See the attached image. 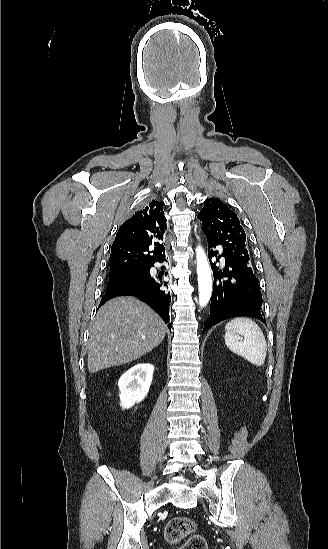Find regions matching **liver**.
<instances>
[{
    "label": "liver",
    "instance_id": "1",
    "mask_svg": "<svg viewBox=\"0 0 328 549\" xmlns=\"http://www.w3.org/2000/svg\"><path fill=\"white\" fill-rule=\"evenodd\" d=\"M166 335L161 317L135 297H116L99 309L90 327L88 371L131 363L160 345Z\"/></svg>",
    "mask_w": 328,
    "mask_h": 549
}]
</instances>
